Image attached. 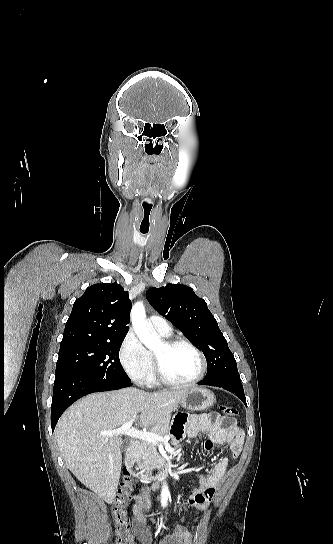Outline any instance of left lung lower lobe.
<instances>
[{"label": "left lung lower lobe", "mask_w": 333, "mask_h": 544, "mask_svg": "<svg viewBox=\"0 0 333 544\" xmlns=\"http://www.w3.org/2000/svg\"><path fill=\"white\" fill-rule=\"evenodd\" d=\"M198 384L210 385L223 388L227 391L234 393L241 401L247 406L244 390L239 377L236 376H222L213 379H203Z\"/></svg>", "instance_id": "1"}]
</instances>
